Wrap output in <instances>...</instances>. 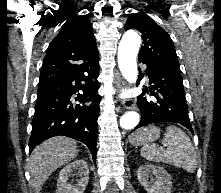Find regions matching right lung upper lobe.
I'll list each match as a JSON object with an SVG mask.
<instances>
[{"label": "right lung upper lobe", "mask_w": 221, "mask_h": 193, "mask_svg": "<svg viewBox=\"0 0 221 193\" xmlns=\"http://www.w3.org/2000/svg\"><path fill=\"white\" fill-rule=\"evenodd\" d=\"M99 61L92 25L85 15H73L49 44L39 87L85 74Z\"/></svg>", "instance_id": "1"}]
</instances>
